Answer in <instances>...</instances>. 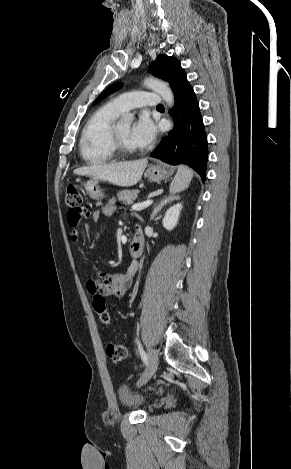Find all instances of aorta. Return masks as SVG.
Segmentation results:
<instances>
[{"label":"aorta","mask_w":291,"mask_h":469,"mask_svg":"<svg viewBox=\"0 0 291 469\" xmlns=\"http://www.w3.org/2000/svg\"><path fill=\"white\" fill-rule=\"evenodd\" d=\"M144 85L158 93L170 107L174 105V95L168 84L155 78H147L144 80ZM132 121L133 115L128 113L121 117L119 123L121 125L130 126Z\"/></svg>","instance_id":"1"}]
</instances>
